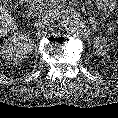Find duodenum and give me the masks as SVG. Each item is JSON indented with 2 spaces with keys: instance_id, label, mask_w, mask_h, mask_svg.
<instances>
[{
  "instance_id": "obj_1",
  "label": "duodenum",
  "mask_w": 118,
  "mask_h": 118,
  "mask_svg": "<svg viewBox=\"0 0 118 118\" xmlns=\"http://www.w3.org/2000/svg\"><path fill=\"white\" fill-rule=\"evenodd\" d=\"M27 1H29V2H34L35 0H27Z\"/></svg>"
}]
</instances>
